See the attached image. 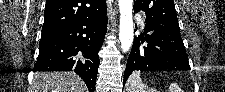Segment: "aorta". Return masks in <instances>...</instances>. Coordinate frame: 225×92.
I'll return each instance as SVG.
<instances>
[{
    "label": "aorta",
    "mask_w": 225,
    "mask_h": 92,
    "mask_svg": "<svg viewBox=\"0 0 225 92\" xmlns=\"http://www.w3.org/2000/svg\"><path fill=\"white\" fill-rule=\"evenodd\" d=\"M120 12L119 40L123 52L130 50L133 38V0H118Z\"/></svg>",
    "instance_id": "obj_1"
}]
</instances>
